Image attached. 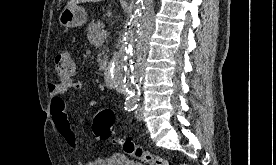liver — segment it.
Segmentation results:
<instances>
[{"label": "liver", "mask_w": 276, "mask_h": 165, "mask_svg": "<svg viewBox=\"0 0 276 165\" xmlns=\"http://www.w3.org/2000/svg\"><path fill=\"white\" fill-rule=\"evenodd\" d=\"M100 1H103V0H70L67 3L66 7H74L79 3H86V2H94L95 3V2H100Z\"/></svg>", "instance_id": "liver-1"}]
</instances>
